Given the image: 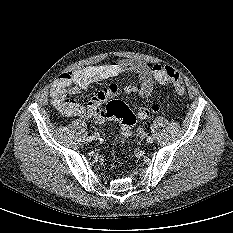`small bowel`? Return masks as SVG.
Here are the masks:
<instances>
[{
	"label": "small bowel",
	"instance_id": "1",
	"mask_svg": "<svg viewBox=\"0 0 233 233\" xmlns=\"http://www.w3.org/2000/svg\"><path fill=\"white\" fill-rule=\"evenodd\" d=\"M125 72L133 73L138 78L139 85L128 84L123 88V92L148 98L154 85L153 69L142 62L122 59L112 63L83 67L63 74L51 89L52 104L65 117H79L103 122L105 119L93 117L92 109L100 107L106 100L120 92V87L116 83H111L99 91L92 97L87 107L68 98V94L81 93L96 83Z\"/></svg>",
	"mask_w": 233,
	"mask_h": 233
}]
</instances>
